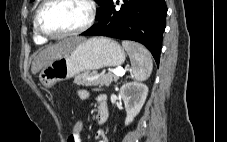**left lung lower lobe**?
<instances>
[{
  "label": "left lung lower lobe",
  "instance_id": "1",
  "mask_svg": "<svg viewBox=\"0 0 227 142\" xmlns=\"http://www.w3.org/2000/svg\"><path fill=\"white\" fill-rule=\"evenodd\" d=\"M110 0L99 16V23L82 35L108 36L145 45L159 64L165 30V0Z\"/></svg>",
  "mask_w": 227,
  "mask_h": 142
}]
</instances>
